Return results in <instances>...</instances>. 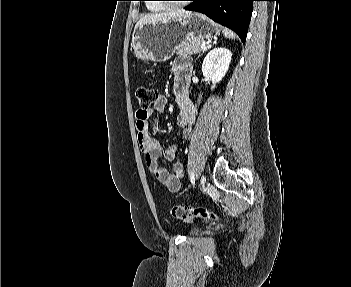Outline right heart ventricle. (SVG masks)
<instances>
[{
	"label": "right heart ventricle",
	"mask_w": 351,
	"mask_h": 287,
	"mask_svg": "<svg viewBox=\"0 0 351 287\" xmlns=\"http://www.w3.org/2000/svg\"><path fill=\"white\" fill-rule=\"evenodd\" d=\"M147 7L150 11L152 12H159V11H162L164 10V8L162 7V5H159V4H155V3H148L147 4Z\"/></svg>",
	"instance_id": "right-heart-ventricle-1"
}]
</instances>
